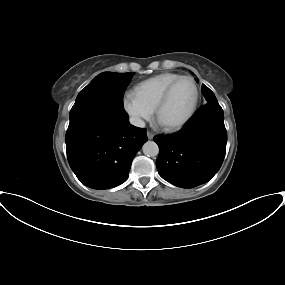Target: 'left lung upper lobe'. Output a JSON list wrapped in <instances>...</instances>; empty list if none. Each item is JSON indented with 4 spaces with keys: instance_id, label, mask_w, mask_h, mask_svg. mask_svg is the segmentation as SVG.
I'll return each instance as SVG.
<instances>
[{
    "instance_id": "5c2ea615",
    "label": "left lung upper lobe",
    "mask_w": 285,
    "mask_h": 285,
    "mask_svg": "<svg viewBox=\"0 0 285 285\" xmlns=\"http://www.w3.org/2000/svg\"><path fill=\"white\" fill-rule=\"evenodd\" d=\"M196 81H198L196 79ZM202 93L207 100L208 105H219L214 93L205 85H202Z\"/></svg>"
}]
</instances>
